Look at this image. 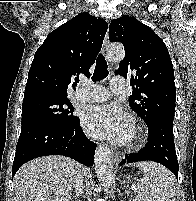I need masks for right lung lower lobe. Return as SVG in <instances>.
<instances>
[{
	"instance_id": "right-lung-lower-lobe-1",
	"label": "right lung lower lobe",
	"mask_w": 196,
	"mask_h": 201,
	"mask_svg": "<svg viewBox=\"0 0 196 201\" xmlns=\"http://www.w3.org/2000/svg\"><path fill=\"white\" fill-rule=\"evenodd\" d=\"M96 144L87 139L79 119L69 126L32 121L22 129L12 168V178L26 162L40 156L63 155L91 167Z\"/></svg>"
}]
</instances>
